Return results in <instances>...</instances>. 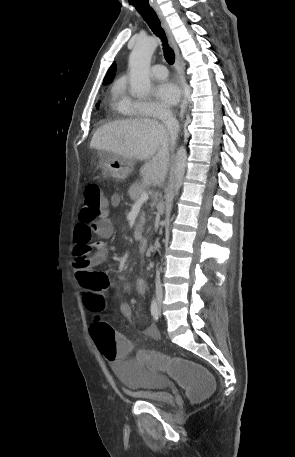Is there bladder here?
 I'll return each instance as SVG.
<instances>
[{
	"label": "bladder",
	"mask_w": 295,
	"mask_h": 457,
	"mask_svg": "<svg viewBox=\"0 0 295 457\" xmlns=\"http://www.w3.org/2000/svg\"><path fill=\"white\" fill-rule=\"evenodd\" d=\"M144 362L146 360H141L140 366H126L125 361H117L112 363V369L128 390L138 392L143 398L155 404L172 403L173 395L165 389L167 375L149 374L148 371H144Z\"/></svg>",
	"instance_id": "31cf9c89"
}]
</instances>
